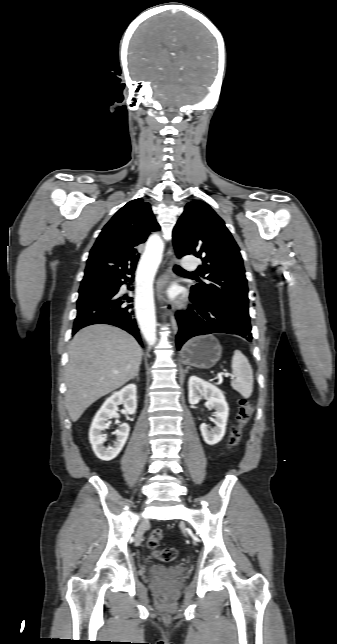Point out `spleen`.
Instances as JSON below:
<instances>
[{
    "label": "spleen",
    "mask_w": 337,
    "mask_h": 644,
    "mask_svg": "<svg viewBox=\"0 0 337 644\" xmlns=\"http://www.w3.org/2000/svg\"><path fill=\"white\" fill-rule=\"evenodd\" d=\"M231 368L235 376L231 382L232 388L244 398H249L253 391V371L248 359L241 351H234Z\"/></svg>",
    "instance_id": "1"
}]
</instances>
